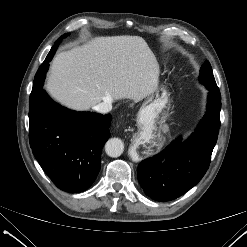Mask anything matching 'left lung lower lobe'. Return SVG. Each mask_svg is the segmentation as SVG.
<instances>
[{"label":"left lung lower lobe","mask_w":247,"mask_h":247,"mask_svg":"<svg viewBox=\"0 0 247 247\" xmlns=\"http://www.w3.org/2000/svg\"><path fill=\"white\" fill-rule=\"evenodd\" d=\"M220 110V92L209 90L206 113L189 139H177L164 151L140 162L138 180L146 195L156 201H170L202 179L217 141Z\"/></svg>","instance_id":"left-lung-lower-lobe-1"}]
</instances>
